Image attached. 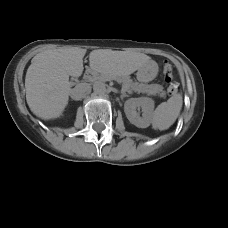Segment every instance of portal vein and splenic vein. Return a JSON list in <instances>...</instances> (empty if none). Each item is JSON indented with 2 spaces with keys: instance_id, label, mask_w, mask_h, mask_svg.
Returning a JSON list of instances; mask_svg holds the SVG:
<instances>
[{
  "instance_id": "1",
  "label": "portal vein and splenic vein",
  "mask_w": 228,
  "mask_h": 228,
  "mask_svg": "<svg viewBox=\"0 0 228 228\" xmlns=\"http://www.w3.org/2000/svg\"><path fill=\"white\" fill-rule=\"evenodd\" d=\"M125 91H126V89L123 88V89H122V93H124Z\"/></svg>"
}]
</instances>
